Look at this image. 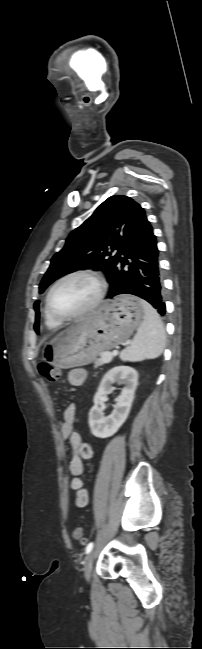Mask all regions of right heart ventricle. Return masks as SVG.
<instances>
[{
	"mask_svg": "<svg viewBox=\"0 0 202 649\" xmlns=\"http://www.w3.org/2000/svg\"><path fill=\"white\" fill-rule=\"evenodd\" d=\"M44 322L45 325L50 329H55L61 325L60 322L55 321L49 316V314L46 311V308L44 309Z\"/></svg>",
	"mask_w": 202,
	"mask_h": 649,
	"instance_id": "right-heart-ventricle-1",
	"label": "right heart ventricle"
}]
</instances>
